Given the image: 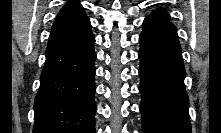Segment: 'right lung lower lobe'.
<instances>
[{"instance_id":"1","label":"right lung lower lobe","mask_w":221,"mask_h":133,"mask_svg":"<svg viewBox=\"0 0 221 133\" xmlns=\"http://www.w3.org/2000/svg\"><path fill=\"white\" fill-rule=\"evenodd\" d=\"M94 42L48 44L33 133H95Z\"/></svg>"}]
</instances>
